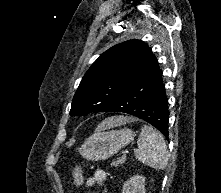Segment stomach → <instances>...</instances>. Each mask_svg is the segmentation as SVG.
Listing matches in <instances>:
<instances>
[{
	"label": "stomach",
	"mask_w": 221,
	"mask_h": 193,
	"mask_svg": "<svg viewBox=\"0 0 221 193\" xmlns=\"http://www.w3.org/2000/svg\"><path fill=\"white\" fill-rule=\"evenodd\" d=\"M134 138L131 129L105 131L98 128L80 147L81 156L87 160H105L128 145Z\"/></svg>",
	"instance_id": "stomach-1"
}]
</instances>
